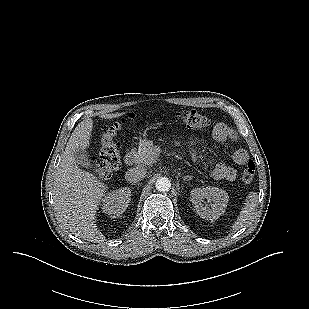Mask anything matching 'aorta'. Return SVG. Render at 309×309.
Here are the masks:
<instances>
[{
  "label": "aorta",
  "instance_id": "aorta-1",
  "mask_svg": "<svg viewBox=\"0 0 309 309\" xmlns=\"http://www.w3.org/2000/svg\"><path fill=\"white\" fill-rule=\"evenodd\" d=\"M155 187L160 192H167L171 188V182L167 177H160L157 179Z\"/></svg>",
  "mask_w": 309,
  "mask_h": 309
}]
</instances>
